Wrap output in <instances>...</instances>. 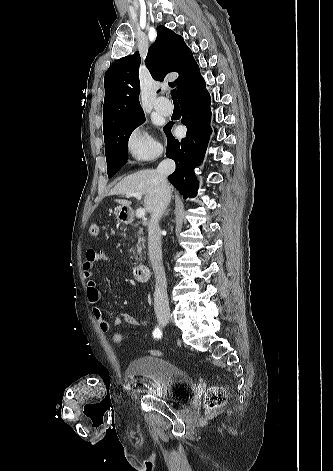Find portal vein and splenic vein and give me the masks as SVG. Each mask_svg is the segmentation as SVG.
Here are the masks:
<instances>
[{
  "label": "portal vein and splenic vein",
  "instance_id": "obj_1",
  "mask_svg": "<svg viewBox=\"0 0 333 471\" xmlns=\"http://www.w3.org/2000/svg\"><path fill=\"white\" fill-rule=\"evenodd\" d=\"M126 196H127V197L134 196V197H136L137 199H141L142 194L139 193V192H129V193L126 194ZM145 214H146V211H145L144 208H138V209L136 210V216H137L138 218H144V217H145Z\"/></svg>",
  "mask_w": 333,
  "mask_h": 471
}]
</instances>
